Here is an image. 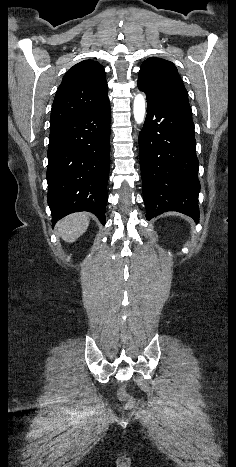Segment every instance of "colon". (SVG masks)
I'll use <instances>...</instances> for the list:
<instances>
[{"label": "colon", "instance_id": "1", "mask_svg": "<svg viewBox=\"0 0 236 467\" xmlns=\"http://www.w3.org/2000/svg\"><path fill=\"white\" fill-rule=\"evenodd\" d=\"M118 395L121 399L125 400L128 406H131L133 404L132 398H130L127 394L124 388H121L118 392Z\"/></svg>", "mask_w": 236, "mask_h": 467}]
</instances>
